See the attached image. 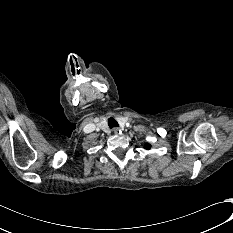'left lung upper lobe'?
<instances>
[{
    "instance_id": "1",
    "label": "left lung upper lobe",
    "mask_w": 233,
    "mask_h": 233,
    "mask_svg": "<svg viewBox=\"0 0 233 233\" xmlns=\"http://www.w3.org/2000/svg\"><path fill=\"white\" fill-rule=\"evenodd\" d=\"M145 148H146V149H149V148H150V145H149V144H146V145H145Z\"/></svg>"
}]
</instances>
